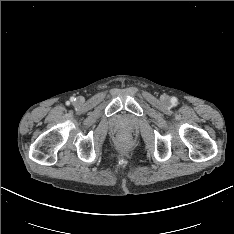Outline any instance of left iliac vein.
Here are the masks:
<instances>
[{
	"mask_svg": "<svg viewBox=\"0 0 234 234\" xmlns=\"http://www.w3.org/2000/svg\"><path fill=\"white\" fill-rule=\"evenodd\" d=\"M162 100H163L164 102H167V101L169 100V98H168V96H163V97H162Z\"/></svg>",
	"mask_w": 234,
	"mask_h": 234,
	"instance_id": "1",
	"label": "left iliac vein"
}]
</instances>
